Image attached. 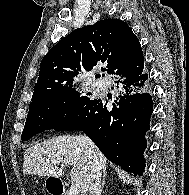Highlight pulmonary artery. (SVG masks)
<instances>
[{"label": "pulmonary artery", "mask_w": 189, "mask_h": 195, "mask_svg": "<svg viewBox=\"0 0 189 195\" xmlns=\"http://www.w3.org/2000/svg\"><path fill=\"white\" fill-rule=\"evenodd\" d=\"M92 86L100 90H105L107 88L106 84L98 82V81H94L92 83Z\"/></svg>", "instance_id": "e3ab8cb5"}]
</instances>
